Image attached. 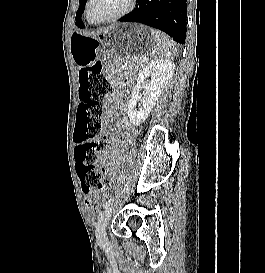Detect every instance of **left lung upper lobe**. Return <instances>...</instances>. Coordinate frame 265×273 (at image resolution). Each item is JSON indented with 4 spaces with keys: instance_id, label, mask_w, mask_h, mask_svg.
<instances>
[{
    "instance_id": "obj_1",
    "label": "left lung upper lobe",
    "mask_w": 265,
    "mask_h": 273,
    "mask_svg": "<svg viewBox=\"0 0 265 273\" xmlns=\"http://www.w3.org/2000/svg\"><path fill=\"white\" fill-rule=\"evenodd\" d=\"M86 1L87 0H79V2H80V7H79V9L77 10V13H76V25L78 26V27H82V26H84V23H83V21L81 20V15H82V13L84 12V9H85V4H86Z\"/></svg>"
}]
</instances>
